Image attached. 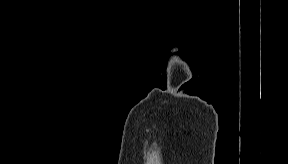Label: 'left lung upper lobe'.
<instances>
[{"mask_svg":"<svg viewBox=\"0 0 288 164\" xmlns=\"http://www.w3.org/2000/svg\"><path fill=\"white\" fill-rule=\"evenodd\" d=\"M216 83H217L216 81L212 82V83H211V87H212V88H215V87H216Z\"/></svg>","mask_w":288,"mask_h":164,"instance_id":"left-lung-upper-lobe-1","label":"left lung upper lobe"}]
</instances>
